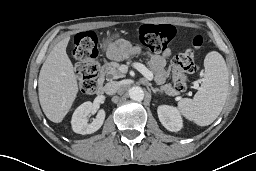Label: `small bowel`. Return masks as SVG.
<instances>
[{
    "instance_id": "small-bowel-1",
    "label": "small bowel",
    "mask_w": 256,
    "mask_h": 171,
    "mask_svg": "<svg viewBox=\"0 0 256 171\" xmlns=\"http://www.w3.org/2000/svg\"><path fill=\"white\" fill-rule=\"evenodd\" d=\"M129 51L132 53L141 52V48L138 46H129ZM149 64L155 74V82L162 84L167 78V71L165 70L166 62L169 57V52L162 54L148 53Z\"/></svg>"
}]
</instances>
